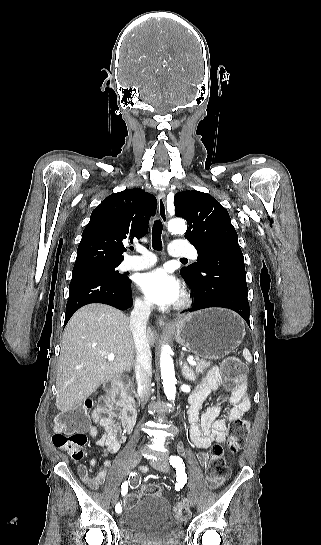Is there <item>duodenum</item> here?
<instances>
[{
  "label": "duodenum",
  "instance_id": "1",
  "mask_svg": "<svg viewBox=\"0 0 321 545\" xmlns=\"http://www.w3.org/2000/svg\"><path fill=\"white\" fill-rule=\"evenodd\" d=\"M108 399L121 410V424L127 432H131L135 425L137 412L129 402L121 381H115L106 385Z\"/></svg>",
  "mask_w": 321,
  "mask_h": 545
}]
</instances>
